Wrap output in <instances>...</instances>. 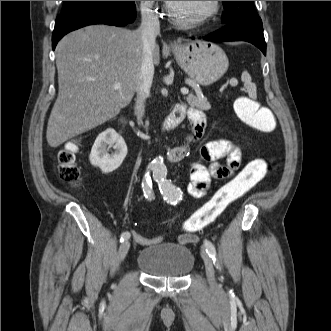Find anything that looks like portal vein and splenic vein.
<instances>
[{
	"instance_id": "18ae733b",
	"label": "portal vein and splenic vein",
	"mask_w": 331,
	"mask_h": 331,
	"mask_svg": "<svg viewBox=\"0 0 331 331\" xmlns=\"http://www.w3.org/2000/svg\"><path fill=\"white\" fill-rule=\"evenodd\" d=\"M113 87H114V89H119L121 87V85H120V83H115ZM181 93L186 95L189 93V90L187 88L183 87V88H181Z\"/></svg>"
}]
</instances>
